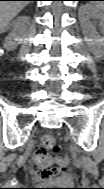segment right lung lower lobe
<instances>
[{
	"mask_svg": "<svg viewBox=\"0 0 104 189\" xmlns=\"http://www.w3.org/2000/svg\"><path fill=\"white\" fill-rule=\"evenodd\" d=\"M24 1H28V0H24ZM30 1H36V0H30Z\"/></svg>",
	"mask_w": 104,
	"mask_h": 189,
	"instance_id": "obj_1",
	"label": "right lung lower lobe"
}]
</instances>
